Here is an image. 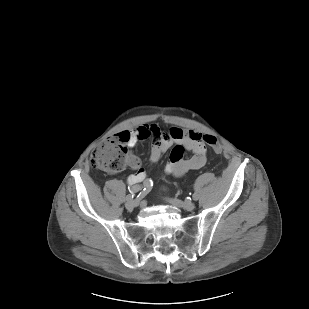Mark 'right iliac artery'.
Masks as SVG:
<instances>
[{
  "label": "right iliac artery",
  "instance_id": "1",
  "mask_svg": "<svg viewBox=\"0 0 309 309\" xmlns=\"http://www.w3.org/2000/svg\"><path fill=\"white\" fill-rule=\"evenodd\" d=\"M144 184V188L141 189L140 193L137 194L136 197L133 198V195H127V201H134L135 203H138L140 200H142L143 196H146L147 193L150 192L151 187L153 186V182L151 179L146 178L142 182Z\"/></svg>",
  "mask_w": 309,
  "mask_h": 309
}]
</instances>
